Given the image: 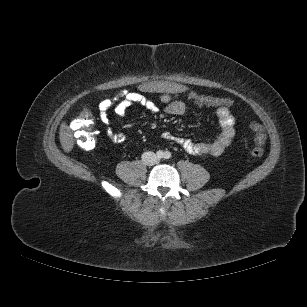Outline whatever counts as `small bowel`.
<instances>
[{
  "mask_svg": "<svg viewBox=\"0 0 307 307\" xmlns=\"http://www.w3.org/2000/svg\"><path fill=\"white\" fill-rule=\"evenodd\" d=\"M197 93L190 91L188 96H195ZM168 93L160 94L159 98L164 103V113L167 115H184L187 112V106L182 101H172ZM141 105L151 113H158L159 107L143 93L128 92L114 97L107 96L99 103V119L105 125L107 136L116 143L125 141V135L116 132L111 127L110 111L113 110L117 117H124L127 110L132 105ZM215 114L219 122L220 131L216 137L208 142L195 143L188 138L175 136L170 132H163L162 137L165 140L175 142L182 146L188 153L193 155L219 156L229 146L235 136V118L228 107H217Z\"/></svg>",
  "mask_w": 307,
  "mask_h": 307,
  "instance_id": "obj_1",
  "label": "small bowel"
}]
</instances>
